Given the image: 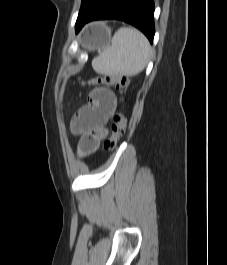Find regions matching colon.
Listing matches in <instances>:
<instances>
[{"label": "colon", "mask_w": 227, "mask_h": 265, "mask_svg": "<svg viewBox=\"0 0 227 265\" xmlns=\"http://www.w3.org/2000/svg\"><path fill=\"white\" fill-rule=\"evenodd\" d=\"M82 84L107 85L116 87L121 93L125 94L129 81L124 76L104 75L93 77ZM127 127V118L124 112H118L113 115L111 123V135L104 142L106 152L113 151L120 138L125 134Z\"/></svg>", "instance_id": "colon-1"}]
</instances>
